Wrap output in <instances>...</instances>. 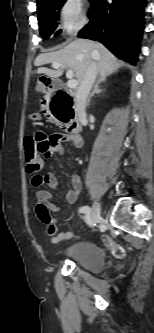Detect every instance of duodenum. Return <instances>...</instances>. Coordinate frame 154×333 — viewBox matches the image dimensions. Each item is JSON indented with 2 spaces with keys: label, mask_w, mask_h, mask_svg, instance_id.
Listing matches in <instances>:
<instances>
[{
  "label": "duodenum",
  "mask_w": 154,
  "mask_h": 333,
  "mask_svg": "<svg viewBox=\"0 0 154 333\" xmlns=\"http://www.w3.org/2000/svg\"><path fill=\"white\" fill-rule=\"evenodd\" d=\"M48 89L50 91V94H47V96H53V98L60 92H62V84L59 81H50L48 83ZM70 96V103L67 107L61 106L60 111L54 106H52L51 113L53 116L57 117L60 113L63 117H69L70 112H72V107L74 104V98L69 94ZM68 127L71 128V134L74 136H79V120L76 118H72L68 120Z\"/></svg>",
  "instance_id": "duodenum-1"
}]
</instances>
